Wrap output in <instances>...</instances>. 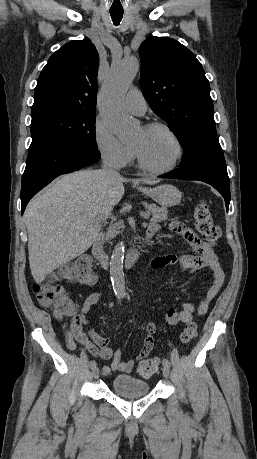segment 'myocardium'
I'll return each mask as SVG.
<instances>
[{
    "instance_id": "obj_1",
    "label": "myocardium",
    "mask_w": 257,
    "mask_h": 459,
    "mask_svg": "<svg viewBox=\"0 0 257 459\" xmlns=\"http://www.w3.org/2000/svg\"><path fill=\"white\" fill-rule=\"evenodd\" d=\"M143 128L145 130L161 129L165 131L174 141L177 152H176V156L174 157L173 161L170 164L162 168H156V167L150 166L144 160L138 148L133 145V150H134L135 156L137 158V161L140 167L143 170L150 172V173H154V174H164V173H168L172 171L182 160V157L184 154V148H183L182 142L180 138L178 137V135L168 125L161 123V122H150V123L145 124Z\"/></svg>"
}]
</instances>
